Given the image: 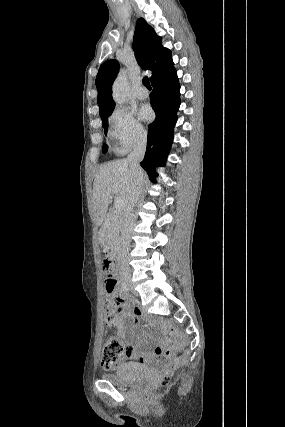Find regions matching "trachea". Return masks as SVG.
Masks as SVG:
<instances>
[{
    "instance_id": "trachea-1",
    "label": "trachea",
    "mask_w": 285,
    "mask_h": 427,
    "mask_svg": "<svg viewBox=\"0 0 285 427\" xmlns=\"http://www.w3.org/2000/svg\"><path fill=\"white\" fill-rule=\"evenodd\" d=\"M143 84H144V86L147 88V89H151V85H150V82H149V79H148V77H144L143 78Z\"/></svg>"
}]
</instances>
